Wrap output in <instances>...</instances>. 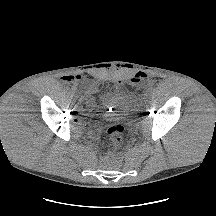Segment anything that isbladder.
I'll list each match as a JSON object with an SVG mask.
<instances>
[{"label": "bladder", "mask_w": 216, "mask_h": 216, "mask_svg": "<svg viewBox=\"0 0 216 216\" xmlns=\"http://www.w3.org/2000/svg\"><path fill=\"white\" fill-rule=\"evenodd\" d=\"M84 101L93 118L99 122L113 119L125 121L133 113V106L128 95L122 92L109 91L104 95H96L91 90L84 95Z\"/></svg>", "instance_id": "bladder-1"}]
</instances>
